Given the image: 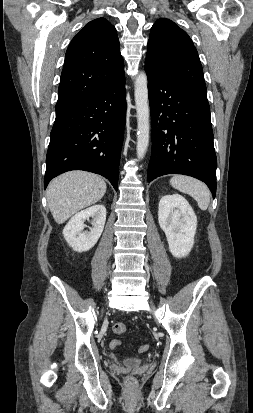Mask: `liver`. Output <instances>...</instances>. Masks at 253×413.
<instances>
[{"label":"liver","instance_id":"1","mask_svg":"<svg viewBox=\"0 0 253 413\" xmlns=\"http://www.w3.org/2000/svg\"><path fill=\"white\" fill-rule=\"evenodd\" d=\"M105 181L96 174L71 171L53 179L47 188V202L56 223L98 202L106 192Z\"/></svg>","mask_w":253,"mask_h":413}]
</instances>
